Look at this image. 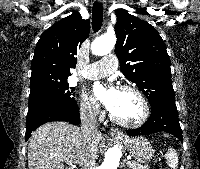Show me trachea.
Returning a JSON list of instances; mask_svg holds the SVG:
<instances>
[{
	"mask_svg": "<svg viewBox=\"0 0 200 169\" xmlns=\"http://www.w3.org/2000/svg\"><path fill=\"white\" fill-rule=\"evenodd\" d=\"M102 22H103V6L98 2H94L92 8V29L94 32L100 30Z\"/></svg>",
	"mask_w": 200,
	"mask_h": 169,
	"instance_id": "trachea-1",
	"label": "trachea"
}]
</instances>
